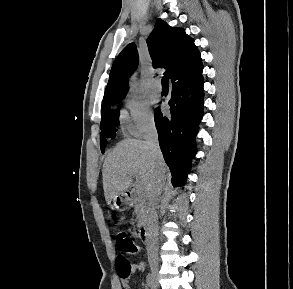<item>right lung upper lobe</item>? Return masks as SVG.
Wrapping results in <instances>:
<instances>
[{"label":"right lung upper lobe","instance_id":"1","mask_svg":"<svg viewBox=\"0 0 293 289\" xmlns=\"http://www.w3.org/2000/svg\"><path fill=\"white\" fill-rule=\"evenodd\" d=\"M147 45L154 68H165L172 84L191 81L202 74L203 64L200 52L184 29L169 26L158 19L147 39ZM138 65L135 44H128L115 59L105 90L103 103L125 96L128 78Z\"/></svg>","mask_w":293,"mask_h":289}]
</instances>
